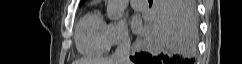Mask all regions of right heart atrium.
<instances>
[{
	"label": "right heart atrium",
	"instance_id": "1",
	"mask_svg": "<svg viewBox=\"0 0 242 64\" xmlns=\"http://www.w3.org/2000/svg\"><path fill=\"white\" fill-rule=\"evenodd\" d=\"M107 36L110 46L124 45L130 41L126 23L122 20L108 24Z\"/></svg>",
	"mask_w": 242,
	"mask_h": 64
}]
</instances>
